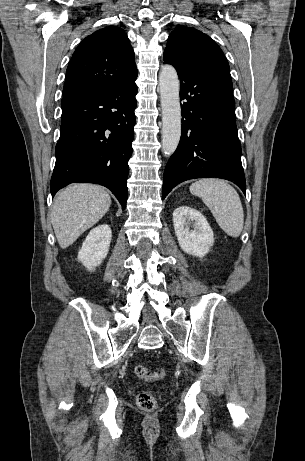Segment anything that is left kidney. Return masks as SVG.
<instances>
[{"mask_svg": "<svg viewBox=\"0 0 305 461\" xmlns=\"http://www.w3.org/2000/svg\"><path fill=\"white\" fill-rule=\"evenodd\" d=\"M173 225L181 249L192 256L204 257L214 243V234L198 210L181 206L173 212Z\"/></svg>", "mask_w": 305, "mask_h": 461, "instance_id": "obj_1", "label": "left kidney"}]
</instances>
